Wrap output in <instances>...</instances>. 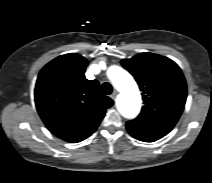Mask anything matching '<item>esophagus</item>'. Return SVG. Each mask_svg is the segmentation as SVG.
Segmentation results:
<instances>
[{
	"label": "esophagus",
	"mask_w": 212,
	"mask_h": 183,
	"mask_svg": "<svg viewBox=\"0 0 212 183\" xmlns=\"http://www.w3.org/2000/svg\"><path fill=\"white\" fill-rule=\"evenodd\" d=\"M117 91H114L112 94H111V98L113 99V100H115L116 99V97H117Z\"/></svg>",
	"instance_id": "esophagus-1"
}]
</instances>
